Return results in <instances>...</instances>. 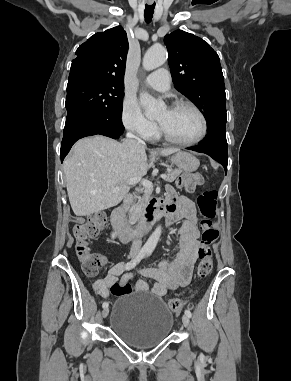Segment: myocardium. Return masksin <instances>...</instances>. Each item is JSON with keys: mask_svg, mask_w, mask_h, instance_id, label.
Returning a JSON list of instances; mask_svg holds the SVG:
<instances>
[{"mask_svg": "<svg viewBox=\"0 0 291 381\" xmlns=\"http://www.w3.org/2000/svg\"><path fill=\"white\" fill-rule=\"evenodd\" d=\"M184 107L190 108L193 111H195L201 120V124H202L201 131L197 137H195L192 140H188V141L176 139L173 136H171L169 133H167L164 130V128L158 122H157V130H158V134L162 138H164L166 141H168L172 144L180 145V146H193V145L199 143L201 140H203V138L206 136L207 131H208V120H207L205 114L203 113V111L196 104H194L190 101H177V102L173 103L169 107V109L175 110V109L184 108Z\"/></svg>", "mask_w": 291, "mask_h": 381, "instance_id": "f54148a6", "label": "myocardium"}]
</instances>
